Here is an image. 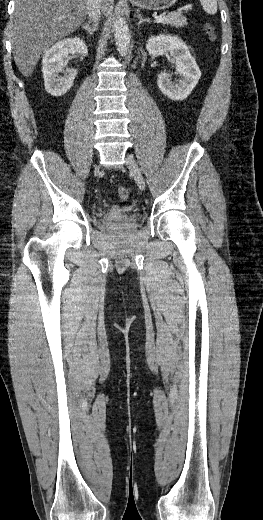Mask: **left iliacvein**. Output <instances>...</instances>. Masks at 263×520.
Returning <instances> with one entry per match:
<instances>
[{"mask_svg":"<svg viewBox=\"0 0 263 520\" xmlns=\"http://www.w3.org/2000/svg\"><path fill=\"white\" fill-rule=\"evenodd\" d=\"M126 165H127L128 169L130 170V172L133 174L138 187L141 190H144L145 186H146L145 180H144L142 172H141L139 166L137 165V162L133 158V156H131V155L126 156Z\"/></svg>","mask_w":263,"mask_h":520,"instance_id":"4c4485c4","label":"left iliac vein"}]
</instances>
